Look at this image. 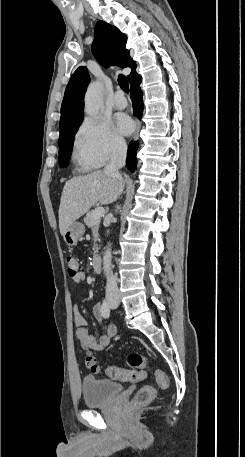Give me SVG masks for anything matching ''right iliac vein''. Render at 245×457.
<instances>
[{
    "instance_id": "obj_1",
    "label": "right iliac vein",
    "mask_w": 245,
    "mask_h": 457,
    "mask_svg": "<svg viewBox=\"0 0 245 457\" xmlns=\"http://www.w3.org/2000/svg\"><path fill=\"white\" fill-rule=\"evenodd\" d=\"M108 301H109L110 304L114 305L119 301V298L118 297H110V298H108Z\"/></svg>"
}]
</instances>
